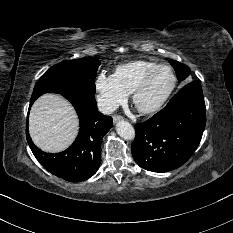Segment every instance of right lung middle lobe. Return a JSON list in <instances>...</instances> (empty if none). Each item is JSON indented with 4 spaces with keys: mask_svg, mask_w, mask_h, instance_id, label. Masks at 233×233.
Listing matches in <instances>:
<instances>
[{
    "mask_svg": "<svg viewBox=\"0 0 233 233\" xmlns=\"http://www.w3.org/2000/svg\"><path fill=\"white\" fill-rule=\"evenodd\" d=\"M100 61L88 58L63 61L52 66L37 82L31 99L43 93L84 94L94 96V80Z\"/></svg>",
    "mask_w": 233,
    "mask_h": 233,
    "instance_id": "right-lung-middle-lobe-1",
    "label": "right lung middle lobe"
}]
</instances>
